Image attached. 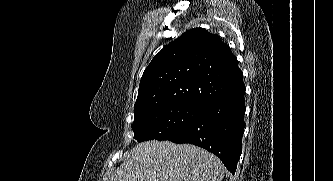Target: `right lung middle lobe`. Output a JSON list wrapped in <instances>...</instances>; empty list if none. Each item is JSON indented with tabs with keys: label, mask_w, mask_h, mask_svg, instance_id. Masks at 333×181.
I'll list each match as a JSON object with an SVG mask.
<instances>
[{
	"label": "right lung middle lobe",
	"mask_w": 333,
	"mask_h": 181,
	"mask_svg": "<svg viewBox=\"0 0 333 181\" xmlns=\"http://www.w3.org/2000/svg\"><path fill=\"white\" fill-rule=\"evenodd\" d=\"M204 106L194 103H165L135 112L132 130L138 142L169 140L184 131Z\"/></svg>",
	"instance_id": "dd1d6c3e"
}]
</instances>
